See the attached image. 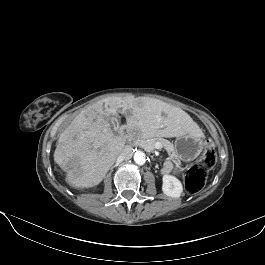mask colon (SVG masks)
<instances>
[{
  "instance_id": "1",
  "label": "colon",
  "mask_w": 265,
  "mask_h": 265,
  "mask_svg": "<svg viewBox=\"0 0 265 265\" xmlns=\"http://www.w3.org/2000/svg\"><path fill=\"white\" fill-rule=\"evenodd\" d=\"M216 164V153L212 142L206 143L205 151L200 161L192 165L185 174V187L190 194H197L205 186L208 172Z\"/></svg>"
}]
</instances>
